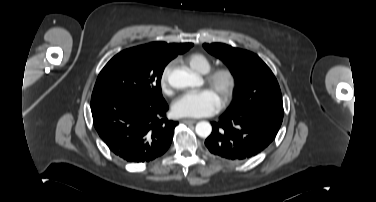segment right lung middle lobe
<instances>
[{
	"mask_svg": "<svg viewBox=\"0 0 376 202\" xmlns=\"http://www.w3.org/2000/svg\"><path fill=\"white\" fill-rule=\"evenodd\" d=\"M188 45L178 53H184ZM152 62L139 47L124 50L115 55L100 72L91 101L109 95H125L160 99L161 76L167 63L175 57Z\"/></svg>",
	"mask_w": 376,
	"mask_h": 202,
	"instance_id": "dd1d6c3e",
	"label": "right lung middle lobe"
}]
</instances>
